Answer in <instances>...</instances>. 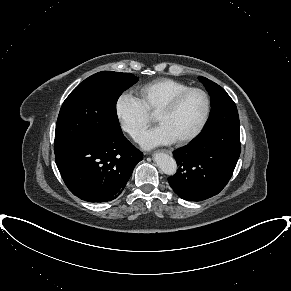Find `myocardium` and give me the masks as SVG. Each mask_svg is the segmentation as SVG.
Returning a JSON list of instances; mask_svg holds the SVG:
<instances>
[{
    "mask_svg": "<svg viewBox=\"0 0 291 291\" xmlns=\"http://www.w3.org/2000/svg\"><path fill=\"white\" fill-rule=\"evenodd\" d=\"M192 92H197L200 93L204 100H205V107H204V111H203V115L201 117V120L199 122V124L197 125V127L194 129L193 132H191L189 135L174 141L177 145H184L187 144L189 142H191L192 140H194L205 128L208 119H209V115H210V111H211V99L209 94L207 93V91H205L202 88L199 87H188L187 89H184L180 92H178L177 94H175L172 98H170L156 113V116H160V115H165V114H169L171 113L176 107L177 105L180 103V101L188 94L192 93Z\"/></svg>",
    "mask_w": 291,
    "mask_h": 291,
    "instance_id": "1",
    "label": "myocardium"
}]
</instances>
